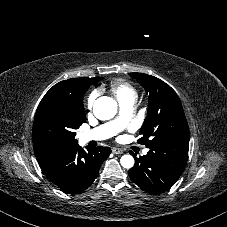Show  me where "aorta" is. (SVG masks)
<instances>
[{
  "instance_id": "obj_1",
  "label": "aorta",
  "mask_w": 227,
  "mask_h": 227,
  "mask_svg": "<svg viewBox=\"0 0 227 227\" xmlns=\"http://www.w3.org/2000/svg\"><path fill=\"white\" fill-rule=\"evenodd\" d=\"M117 108V102L113 98L103 96L95 101L93 112L99 120H110L116 115ZM120 163L122 167L130 169L134 166V158L129 154L123 155Z\"/></svg>"
}]
</instances>
